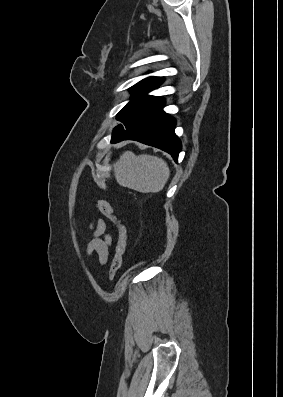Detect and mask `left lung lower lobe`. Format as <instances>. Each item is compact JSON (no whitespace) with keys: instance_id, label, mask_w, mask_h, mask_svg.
<instances>
[{"instance_id":"obj_1","label":"left lung lower lobe","mask_w":283,"mask_h":397,"mask_svg":"<svg viewBox=\"0 0 283 397\" xmlns=\"http://www.w3.org/2000/svg\"><path fill=\"white\" fill-rule=\"evenodd\" d=\"M165 101L137 119L122 134L113 136L111 143L131 139L151 145L168 152L175 161L181 151L182 144L174 130L175 118L163 110Z\"/></svg>"}]
</instances>
